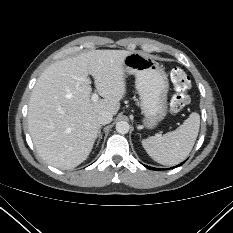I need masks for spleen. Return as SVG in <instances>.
<instances>
[{
	"label": "spleen",
	"mask_w": 233,
	"mask_h": 233,
	"mask_svg": "<svg viewBox=\"0 0 233 233\" xmlns=\"http://www.w3.org/2000/svg\"><path fill=\"white\" fill-rule=\"evenodd\" d=\"M200 116L193 112L176 130L163 136H151L142 140L149 156L162 165H176L191 152L198 136Z\"/></svg>",
	"instance_id": "3e777b00"
}]
</instances>
